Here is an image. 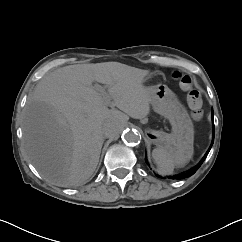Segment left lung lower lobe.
Here are the masks:
<instances>
[{"instance_id": "left-lung-lower-lobe-1", "label": "left lung lower lobe", "mask_w": 242, "mask_h": 242, "mask_svg": "<svg viewBox=\"0 0 242 242\" xmlns=\"http://www.w3.org/2000/svg\"><path fill=\"white\" fill-rule=\"evenodd\" d=\"M212 120H213V110H212ZM214 132H215V128H214V125H213V140H212V144L214 142ZM212 144H211L210 148L208 149L207 153L205 154V156L203 157V159L200 161V163L193 170H191L190 172H188L186 174H183V175H180V176H176L173 179H183V178H186V177H189V176L193 175L196 172V170L201 166V164L203 163L205 158L207 157V155H208V153H209V151H210V149L212 147Z\"/></svg>"}]
</instances>
